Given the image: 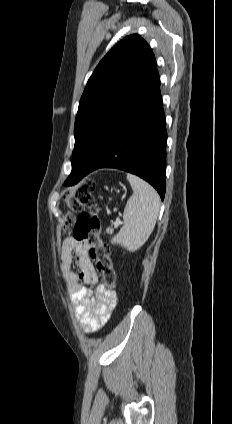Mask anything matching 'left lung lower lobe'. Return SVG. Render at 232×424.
I'll list each match as a JSON object with an SVG mask.
<instances>
[{
    "label": "left lung lower lobe",
    "instance_id": "1",
    "mask_svg": "<svg viewBox=\"0 0 232 424\" xmlns=\"http://www.w3.org/2000/svg\"><path fill=\"white\" fill-rule=\"evenodd\" d=\"M166 139L160 79L154 69L98 141L83 176L69 177L65 185L99 168H116L149 182L163 200Z\"/></svg>",
    "mask_w": 232,
    "mask_h": 424
}]
</instances>
